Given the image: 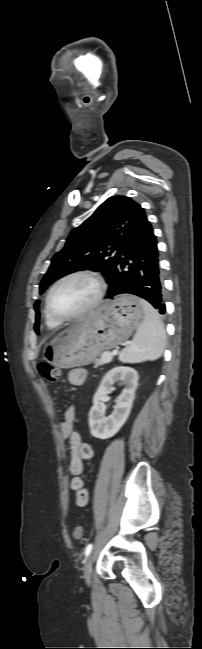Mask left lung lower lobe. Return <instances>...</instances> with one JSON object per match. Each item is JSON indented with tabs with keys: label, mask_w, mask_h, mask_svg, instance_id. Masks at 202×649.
Returning <instances> with one entry per match:
<instances>
[{
	"label": "left lung lower lobe",
	"mask_w": 202,
	"mask_h": 649,
	"mask_svg": "<svg viewBox=\"0 0 202 649\" xmlns=\"http://www.w3.org/2000/svg\"><path fill=\"white\" fill-rule=\"evenodd\" d=\"M158 256L156 237L144 216L121 246L120 257L110 280L111 291L106 298L112 299L122 293L134 294L146 299L164 314Z\"/></svg>",
	"instance_id": "obj_1"
}]
</instances>
